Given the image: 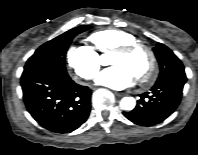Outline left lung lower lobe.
Masks as SVG:
<instances>
[{
    "label": "left lung lower lobe",
    "mask_w": 198,
    "mask_h": 155,
    "mask_svg": "<svg viewBox=\"0 0 198 155\" xmlns=\"http://www.w3.org/2000/svg\"><path fill=\"white\" fill-rule=\"evenodd\" d=\"M186 76H172L155 83L149 92L140 95L138 105L130 112H123L124 116L135 124L153 126L163 122L178 107ZM147 119L141 118L146 114Z\"/></svg>",
    "instance_id": "1"
}]
</instances>
